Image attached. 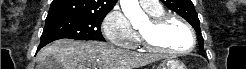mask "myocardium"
I'll return each mask as SVG.
<instances>
[{"label": "myocardium", "mask_w": 246, "mask_h": 69, "mask_svg": "<svg viewBox=\"0 0 246 69\" xmlns=\"http://www.w3.org/2000/svg\"><path fill=\"white\" fill-rule=\"evenodd\" d=\"M171 19H176L183 24V26L186 28V30L189 33L191 45L188 48L183 49V50L166 48V47H162V46H159V45L151 42L146 35L139 32L140 39L146 48L153 50L154 52L162 53V54H166V55L184 54V53H188L194 49L195 42H196L194 30L191 27V25L180 15L175 14V13H164V14H161L158 16H151L149 19V24H150V27L152 30L157 31L166 22H168Z\"/></svg>", "instance_id": "f54148a6"}]
</instances>
